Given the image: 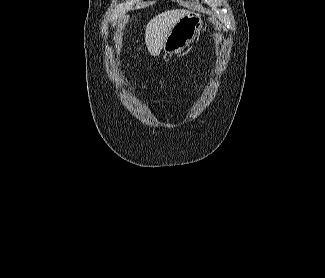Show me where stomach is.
Masks as SVG:
<instances>
[{
	"instance_id": "obj_1",
	"label": "stomach",
	"mask_w": 325,
	"mask_h": 278,
	"mask_svg": "<svg viewBox=\"0 0 325 278\" xmlns=\"http://www.w3.org/2000/svg\"><path fill=\"white\" fill-rule=\"evenodd\" d=\"M203 28L200 15L188 13L173 26L169 32L163 50L166 55L172 56L181 53L199 35Z\"/></svg>"
}]
</instances>
